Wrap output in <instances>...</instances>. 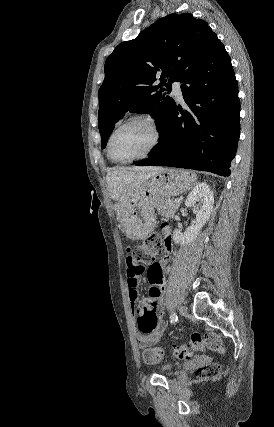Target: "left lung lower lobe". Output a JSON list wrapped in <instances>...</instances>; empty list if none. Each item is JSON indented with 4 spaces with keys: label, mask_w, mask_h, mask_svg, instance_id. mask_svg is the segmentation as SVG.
<instances>
[{
    "label": "left lung lower lobe",
    "mask_w": 274,
    "mask_h": 427,
    "mask_svg": "<svg viewBox=\"0 0 274 427\" xmlns=\"http://www.w3.org/2000/svg\"><path fill=\"white\" fill-rule=\"evenodd\" d=\"M180 81L188 108L172 104L159 143L147 159L135 164L229 176L240 135V103L230 57L217 36Z\"/></svg>",
    "instance_id": "0a47b994"
}]
</instances>
